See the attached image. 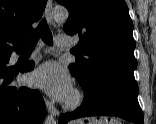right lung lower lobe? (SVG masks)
Instances as JSON below:
<instances>
[{"label": "right lung lower lobe", "instance_id": "obj_1", "mask_svg": "<svg viewBox=\"0 0 156 124\" xmlns=\"http://www.w3.org/2000/svg\"><path fill=\"white\" fill-rule=\"evenodd\" d=\"M11 51L0 54V124H41L45 114L41 94L37 90L11 84L14 75L11 68L6 66ZM33 67L34 63L30 61L21 71H30Z\"/></svg>", "mask_w": 156, "mask_h": 124}]
</instances>
